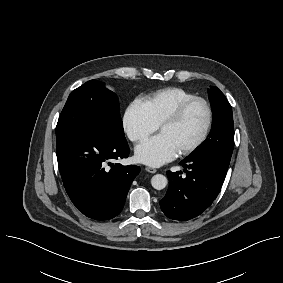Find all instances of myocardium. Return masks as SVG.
<instances>
[{
	"label": "myocardium",
	"instance_id": "myocardium-1",
	"mask_svg": "<svg viewBox=\"0 0 283 283\" xmlns=\"http://www.w3.org/2000/svg\"><path fill=\"white\" fill-rule=\"evenodd\" d=\"M200 103L204 106L206 113H207V121L205 128L200 135V137L194 141L192 144L186 146L182 150L178 152L180 156H186L194 151H196L199 147L203 145V143L207 140L214 120V114L211 104L203 97L195 96L189 100L184 101L181 103L169 116H167L162 122L159 124V130L168 125H175L179 123L183 117L185 116L186 112L194 105Z\"/></svg>",
	"mask_w": 283,
	"mask_h": 283
}]
</instances>
